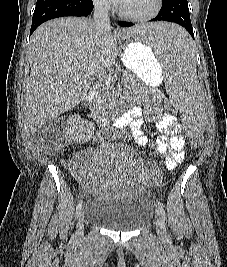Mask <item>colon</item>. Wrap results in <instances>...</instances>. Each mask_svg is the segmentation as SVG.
<instances>
[{
    "label": "colon",
    "instance_id": "5ec220e1",
    "mask_svg": "<svg viewBox=\"0 0 227 267\" xmlns=\"http://www.w3.org/2000/svg\"><path fill=\"white\" fill-rule=\"evenodd\" d=\"M167 116H176L178 109L174 104H165ZM38 141L41 146L51 152L61 151L67 140L64 128L59 124H51L38 132ZM195 143L186 144L187 151L180 157V164H190L192 158L199 154V149H195ZM156 192H163V187H156Z\"/></svg>",
    "mask_w": 227,
    "mask_h": 267
}]
</instances>
